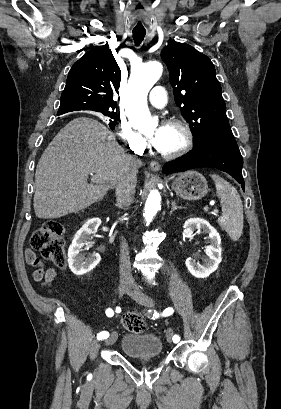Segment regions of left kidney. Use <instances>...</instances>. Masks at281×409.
Masks as SVG:
<instances>
[{"mask_svg": "<svg viewBox=\"0 0 281 409\" xmlns=\"http://www.w3.org/2000/svg\"><path fill=\"white\" fill-rule=\"evenodd\" d=\"M183 227L185 237H191L196 229H203V233H208L209 235L210 245L206 247L205 253L207 257L204 259L203 265L196 263L191 257L185 261V265L193 277H197V279H205V277H209L211 273H214V271L218 269V265L222 261L220 235L214 227H211L208 221H205V219H198V217H195V219H187Z\"/></svg>", "mask_w": 281, "mask_h": 409, "instance_id": "1", "label": "left kidney"}]
</instances>
